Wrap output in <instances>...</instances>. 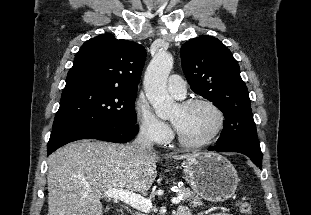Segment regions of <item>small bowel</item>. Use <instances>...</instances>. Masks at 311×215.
Wrapping results in <instances>:
<instances>
[{
  "label": "small bowel",
  "mask_w": 311,
  "mask_h": 215,
  "mask_svg": "<svg viewBox=\"0 0 311 215\" xmlns=\"http://www.w3.org/2000/svg\"><path fill=\"white\" fill-rule=\"evenodd\" d=\"M178 213H180V215H192V212L189 208L187 207H181L178 210ZM211 215H232V214H227V213H215V214H211Z\"/></svg>",
  "instance_id": "1"
}]
</instances>
